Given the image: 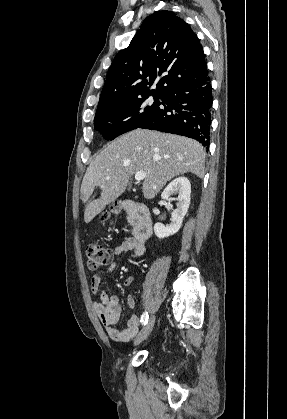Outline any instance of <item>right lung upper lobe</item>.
Segmentation results:
<instances>
[{
  "instance_id": "right-lung-upper-lobe-1",
  "label": "right lung upper lobe",
  "mask_w": 287,
  "mask_h": 419,
  "mask_svg": "<svg viewBox=\"0 0 287 419\" xmlns=\"http://www.w3.org/2000/svg\"><path fill=\"white\" fill-rule=\"evenodd\" d=\"M202 46L191 27L170 11L148 16L129 47L114 58L97 110L147 95L162 96L207 73ZM158 76L155 89L149 87Z\"/></svg>"
}]
</instances>
